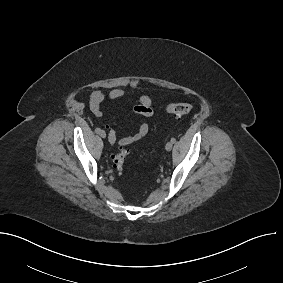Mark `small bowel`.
Masks as SVG:
<instances>
[{"label": "small bowel", "mask_w": 283, "mask_h": 283, "mask_svg": "<svg viewBox=\"0 0 283 283\" xmlns=\"http://www.w3.org/2000/svg\"><path fill=\"white\" fill-rule=\"evenodd\" d=\"M125 95V91L121 88H113L111 89L108 94H104L101 91H94L89 95V106L92 114L96 117L102 116L101 104L106 99V97L111 100L115 101L122 98ZM134 112L138 115L144 117H151L154 114L152 100L148 96H141L136 105L134 106ZM108 130V140L111 144H118L126 146L131 145L142 138H144L149 133V126L146 123H140L137 126V130L134 134L125 136L119 140H117L116 132L110 128L108 125L105 126Z\"/></svg>", "instance_id": "1"}]
</instances>
